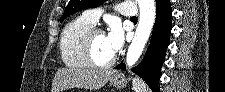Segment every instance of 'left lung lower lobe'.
<instances>
[{
	"instance_id": "0a47b994",
	"label": "left lung lower lobe",
	"mask_w": 225,
	"mask_h": 92,
	"mask_svg": "<svg viewBox=\"0 0 225 92\" xmlns=\"http://www.w3.org/2000/svg\"><path fill=\"white\" fill-rule=\"evenodd\" d=\"M171 15L170 0H156V20L150 45L143 61L132 68L153 92H159L160 66L164 62L165 51L169 45ZM115 69H126V66L121 62Z\"/></svg>"
}]
</instances>
